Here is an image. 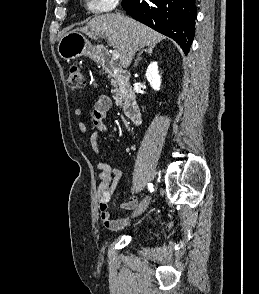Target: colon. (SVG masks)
<instances>
[{
  "label": "colon",
  "instance_id": "1",
  "mask_svg": "<svg viewBox=\"0 0 259 294\" xmlns=\"http://www.w3.org/2000/svg\"><path fill=\"white\" fill-rule=\"evenodd\" d=\"M66 83L72 91H78L84 88L86 80L79 66L73 65L68 69Z\"/></svg>",
  "mask_w": 259,
  "mask_h": 294
}]
</instances>
